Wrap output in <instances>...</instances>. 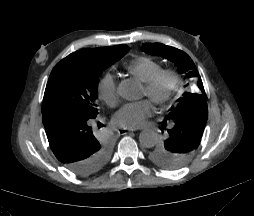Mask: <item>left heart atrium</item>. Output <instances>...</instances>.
<instances>
[{"mask_svg": "<svg viewBox=\"0 0 254 216\" xmlns=\"http://www.w3.org/2000/svg\"><path fill=\"white\" fill-rule=\"evenodd\" d=\"M152 112L149 101L143 100L125 106L117 116V122L123 127H136L140 125Z\"/></svg>", "mask_w": 254, "mask_h": 216, "instance_id": "1", "label": "left heart atrium"}]
</instances>
